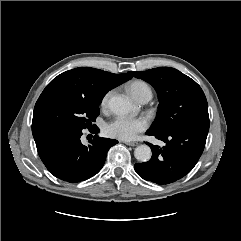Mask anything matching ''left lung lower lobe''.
I'll return each instance as SVG.
<instances>
[{
  "instance_id": "obj_1",
  "label": "left lung lower lobe",
  "mask_w": 241,
  "mask_h": 241,
  "mask_svg": "<svg viewBox=\"0 0 241 241\" xmlns=\"http://www.w3.org/2000/svg\"><path fill=\"white\" fill-rule=\"evenodd\" d=\"M209 123H194L167 133L147 131L166 143L163 148L149 144L152 157L136 163V173L146 181L164 185L186 176L198 162L206 143Z\"/></svg>"
}]
</instances>
